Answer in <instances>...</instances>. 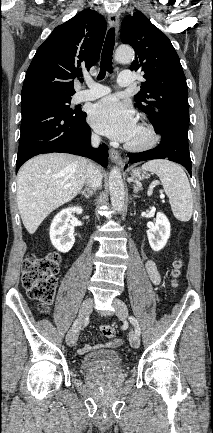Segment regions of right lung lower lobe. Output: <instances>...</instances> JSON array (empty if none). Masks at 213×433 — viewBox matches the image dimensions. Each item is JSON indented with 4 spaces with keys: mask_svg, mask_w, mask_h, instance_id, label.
<instances>
[{
    "mask_svg": "<svg viewBox=\"0 0 213 433\" xmlns=\"http://www.w3.org/2000/svg\"><path fill=\"white\" fill-rule=\"evenodd\" d=\"M21 113L16 172L28 159L50 152L85 156L107 167V146L94 149L90 145L86 113L69 115L55 105L33 99H22Z\"/></svg>",
    "mask_w": 213,
    "mask_h": 433,
    "instance_id": "98d812e1",
    "label": "right lung lower lobe"
}]
</instances>
